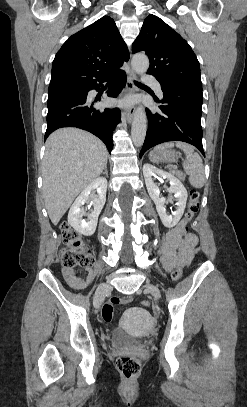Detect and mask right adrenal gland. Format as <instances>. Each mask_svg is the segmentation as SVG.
<instances>
[{"label": "right adrenal gland", "instance_id": "2a0ac1e0", "mask_svg": "<svg viewBox=\"0 0 247 407\" xmlns=\"http://www.w3.org/2000/svg\"><path fill=\"white\" fill-rule=\"evenodd\" d=\"M102 174H105L106 177H108V170H107V168L104 169V172H103Z\"/></svg>", "mask_w": 247, "mask_h": 407}]
</instances>
